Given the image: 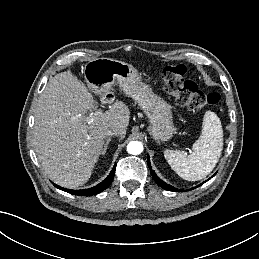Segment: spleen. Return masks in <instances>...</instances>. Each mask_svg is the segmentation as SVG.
<instances>
[{"mask_svg": "<svg viewBox=\"0 0 259 259\" xmlns=\"http://www.w3.org/2000/svg\"><path fill=\"white\" fill-rule=\"evenodd\" d=\"M190 155L178 150L164 151L171 168L183 179L197 181L206 177L216 166L223 150V130L218 116L207 111L202 131L192 147Z\"/></svg>", "mask_w": 259, "mask_h": 259, "instance_id": "obj_1", "label": "spleen"}]
</instances>
